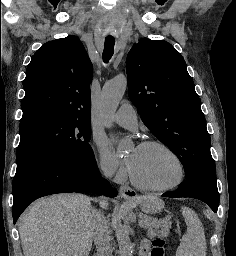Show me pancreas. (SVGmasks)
Returning <instances> with one entry per match:
<instances>
[{
  "label": "pancreas",
  "instance_id": "pancreas-1",
  "mask_svg": "<svg viewBox=\"0 0 236 256\" xmlns=\"http://www.w3.org/2000/svg\"><path fill=\"white\" fill-rule=\"evenodd\" d=\"M141 226L147 230L146 234L148 238H155V236L163 235V232L160 230V226L154 224L151 218H144V222Z\"/></svg>",
  "mask_w": 236,
  "mask_h": 256
}]
</instances>
